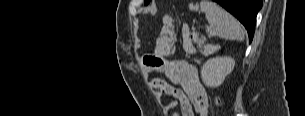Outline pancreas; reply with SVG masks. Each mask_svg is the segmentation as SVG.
<instances>
[{
  "label": "pancreas",
  "mask_w": 305,
  "mask_h": 116,
  "mask_svg": "<svg viewBox=\"0 0 305 116\" xmlns=\"http://www.w3.org/2000/svg\"><path fill=\"white\" fill-rule=\"evenodd\" d=\"M193 41H194L195 43H197L198 46L201 48V47H202V44H203L204 41H205V39L193 37ZM185 51H186L187 53H189V54L194 53V51H193L192 49H190V48H186Z\"/></svg>",
  "instance_id": "obj_1"
}]
</instances>
